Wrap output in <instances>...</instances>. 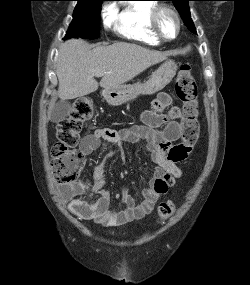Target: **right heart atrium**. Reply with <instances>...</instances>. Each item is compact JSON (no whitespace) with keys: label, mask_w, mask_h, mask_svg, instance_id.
<instances>
[{"label":"right heart atrium","mask_w":250,"mask_h":285,"mask_svg":"<svg viewBox=\"0 0 250 285\" xmlns=\"http://www.w3.org/2000/svg\"><path fill=\"white\" fill-rule=\"evenodd\" d=\"M103 23L106 28H111L117 21V8L115 5H106L102 10Z\"/></svg>","instance_id":"right-heart-atrium-1"}]
</instances>
